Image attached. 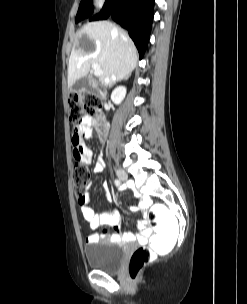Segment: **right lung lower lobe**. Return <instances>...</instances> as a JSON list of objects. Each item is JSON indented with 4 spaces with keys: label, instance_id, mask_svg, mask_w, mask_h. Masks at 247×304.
Segmentation results:
<instances>
[{
    "label": "right lung lower lobe",
    "instance_id": "obj_1",
    "mask_svg": "<svg viewBox=\"0 0 247 304\" xmlns=\"http://www.w3.org/2000/svg\"><path fill=\"white\" fill-rule=\"evenodd\" d=\"M155 0H106L99 14L90 21L106 20L110 17L125 28L134 41L140 59L150 38Z\"/></svg>",
    "mask_w": 247,
    "mask_h": 304
}]
</instances>
